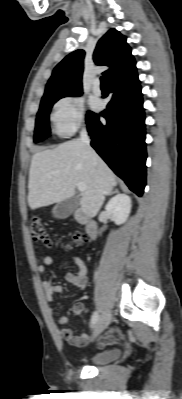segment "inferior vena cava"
<instances>
[{
  "label": "inferior vena cava",
  "instance_id": "1",
  "mask_svg": "<svg viewBox=\"0 0 182 399\" xmlns=\"http://www.w3.org/2000/svg\"><path fill=\"white\" fill-rule=\"evenodd\" d=\"M80 140L82 143H84L87 146H90V138L88 136L87 130L85 127L82 128L81 133H80Z\"/></svg>",
  "mask_w": 182,
  "mask_h": 399
}]
</instances>
